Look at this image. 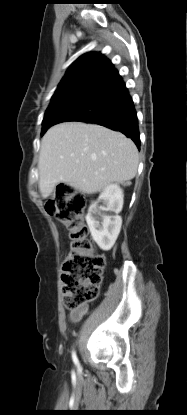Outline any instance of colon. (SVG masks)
<instances>
[{"mask_svg":"<svg viewBox=\"0 0 187 415\" xmlns=\"http://www.w3.org/2000/svg\"><path fill=\"white\" fill-rule=\"evenodd\" d=\"M85 207V196L68 184H60L46 203L47 212L64 225L70 238L61 275L64 305L70 310L97 298L106 263L89 238Z\"/></svg>","mask_w":187,"mask_h":415,"instance_id":"5ec220e1","label":"colon"}]
</instances>
